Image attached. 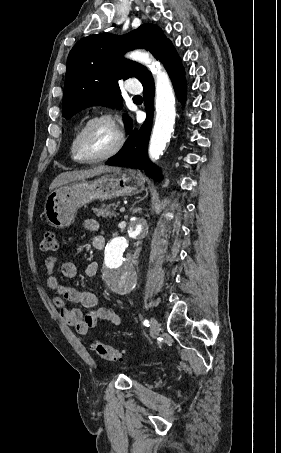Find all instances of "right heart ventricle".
<instances>
[{
	"label": "right heart ventricle",
	"mask_w": 281,
	"mask_h": 453,
	"mask_svg": "<svg viewBox=\"0 0 281 453\" xmlns=\"http://www.w3.org/2000/svg\"><path fill=\"white\" fill-rule=\"evenodd\" d=\"M71 147H73V140H72V143H71Z\"/></svg>",
	"instance_id": "e07e8e85"
}]
</instances>
